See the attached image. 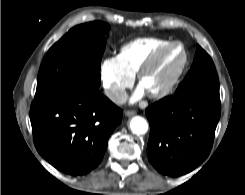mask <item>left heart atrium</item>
Segmentation results:
<instances>
[{
    "label": "left heart atrium",
    "mask_w": 245,
    "mask_h": 195,
    "mask_svg": "<svg viewBox=\"0 0 245 195\" xmlns=\"http://www.w3.org/2000/svg\"><path fill=\"white\" fill-rule=\"evenodd\" d=\"M143 94H144V90H143L141 87H139V88L136 90V92H135V94H134V96H133V98H132V101H135V100L139 99L140 97L143 96Z\"/></svg>",
    "instance_id": "1"
}]
</instances>
